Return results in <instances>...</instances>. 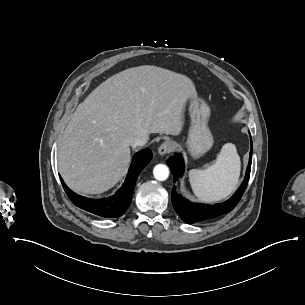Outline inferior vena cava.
<instances>
[{
	"mask_svg": "<svg viewBox=\"0 0 305 305\" xmlns=\"http://www.w3.org/2000/svg\"><path fill=\"white\" fill-rule=\"evenodd\" d=\"M148 141V136H139V137H134L130 140V145L132 147H137V146H144Z\"/></svg>",
	"mask_w": 305,
	"mask_h": 305,
	"instance_id": "602c4592",
	"label": "inferior vena cava"
}]
</instances>
